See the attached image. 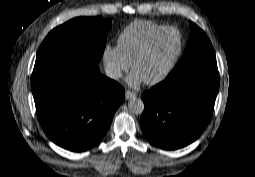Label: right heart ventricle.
Listing matches in <instances>:
<instances>
[{"label":"right heart ventricle","mask_w":255,"mask_h":177,"mask_svg":"<svg viewBox=\"0 0 255 177\" xmlns=\"http://www.w3.org/2000/svg\"><path fill=\"white\" fill-rule=\"evenodd\" d=\"M165 27L163 24L148 20H135L129 23L118 37V45L126 59L131 63L149 37Z\"/></svg>","instance_id":"right-heart-ventricle-1"}]
</instances>
